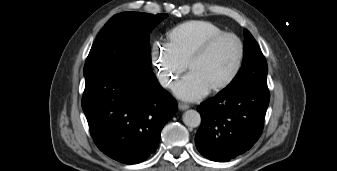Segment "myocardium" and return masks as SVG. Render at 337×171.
<instances>
[{"instance_id": "myocardium-1", "label": "myocardium", "mask_w": 337, "mask_h": 171, "mask_svg": "<svg viewBox=\"0 0 337 171\" xmlns=\"http://www.w3.org/2000/svg\"><path fill=\"white\" fill-rule=\"evenodd\" d=\"M226 38H231L236 41L237 46H238L237 60H236V63L231 73L227 76V78H225L222 82L210 87L211 91H220V90L227 88L236 80V78L240 74V71L243 66L244 57H245V46H244L242 39L238 35L232 32H222L218 35L210 37L209 39L202 42L196 48V50L193 52V54L191 55L187 63L188 69L191 70L192 65L196 61L201 59L215 44H217L219 41L226 39Z\"/></svg>"}]
</instances>
